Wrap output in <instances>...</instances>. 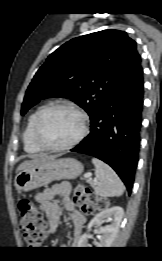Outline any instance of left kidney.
I'll list each match as a JSON object with an SVG mask.
<instances>
[{"label":"left kidney","mask_w":162,"mask_h":261,"mask_svg":"<svg viewBox=\"0 0 162 261\" xmlns=\"http://www.w3.org/2000/svg\"><path fill=\"white\" fill-rule=\"evenodd\" d=\"M124 214L123 208L119 206H114L112 208H107L96 214V216L89 222L87 230L90 231L92 226L100 225L104 220L110 222L109 225L100 228V239L99 242H95L97 248H107L110 247L114 241L120 222ZM77 246L80 248L88 247V234L84 233L78 240Z\"/></svg>","instance_id":"left-kidney-1"}]
</instances>
